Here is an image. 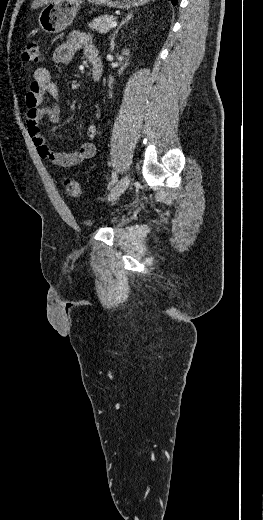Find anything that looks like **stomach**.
<instances>
[{
	"mask_svg": "<svg viewBox=\"0 0 263 520\" xmlns=\"http://www.w3.org/2000/svg\"><path fill=\"white\" fill-rule=\"evenodd\" d=\"M92 4L116 8L138 7L148 0H88ZM82 0H61L47 4L39 14L38 22L42 30L55 34L70 26L78 12Z\"/></svg>",
	"mask_w": 263,
	"mask_h": 520,
	"instance_id": "stomach-1",
	"label": "stomach"
}]
</instances>
